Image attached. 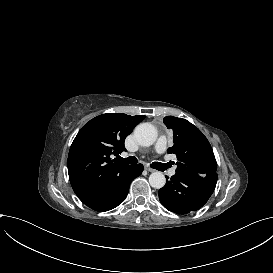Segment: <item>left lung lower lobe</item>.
I'll return each instance as SVG.
<instances>
[{"label": "left lung lower lobe", "instance_id": "0a47b994", "mask_svg": "<svg viewBox=\"0 0 273 273\" xmlns=\"http://www.w3.org/2000/svg\"><path fill=\"white\" fill-rule=\"evenodd\" d=\"M217 182V173L209 175L176 172L158 192L161 204L169 211L186 214L206 204Z\"/></svg>", "mask_w": 273, "mask_h": 273}]
</instances>
